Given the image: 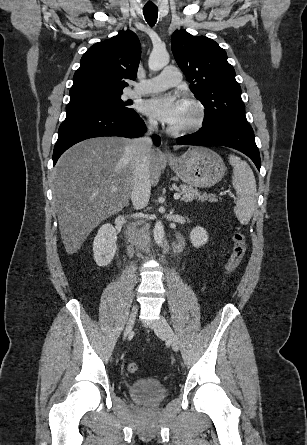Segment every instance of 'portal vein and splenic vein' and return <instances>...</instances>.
<instances>
[{
	"label": "portal vein and splenic vein",
	"instance_id": "obj_1",
	"mask_svg": "<svg viewBox=\"0 0 307 445\" xmlns=\"http://www.w3.org/2000/svg\"><path fill=\"white\" fill-rule=\"evenodd\" d=\"M112 190H116V188H112ZM181 194L180 192H175L174 198H180Z\"/></svg>",
	"mask_w": 307,
	"mask_h": 445
}]
</instances>
